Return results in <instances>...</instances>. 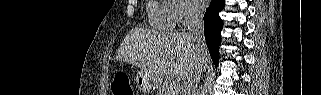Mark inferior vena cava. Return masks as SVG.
Instances as JSON below:
<instances>
[{
    "label": "inferior vena cava",
    "mask_w": 321,
    "mask_h": 95,
    "mask_svg": "<svg viewBox=\"0 0 321 95\" xmlns=\"http://www.w3.org/2000/svg\"><path fill=\"white\" fill-rule=\"evenodd\" d=\"M187 29L196 47L197 56L200 63L196 67L195 72L187 78V81L182 87L181 93L182 95H195L198 81L205 69L204 55L206 48L204 39L203 14L197 8L190 7L188 10Z\"/></svg>",
    "instance_id": "obj_1"
}]
</instances>
